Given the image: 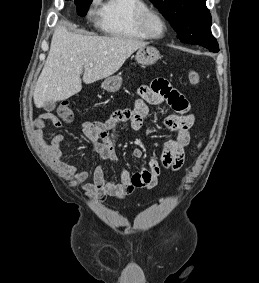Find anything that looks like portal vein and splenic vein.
Returning <instances> with one entry per match:
<instances>
[{
    "label": "portal vein and splenic vein",
    "instance_id": "portal-vein-and-splenic-vein-1",
    "mask_svg": "<svg viewBox=\"0 0 259 283\" xmlns=\"http://www.w3.org/2000/svg\"><path fill=\"white\" fill-rule=\"evenodd\" d=\"M90 66H93V63H89Z\"/></svg>",
    "mask_w": 259,
    "mask_h": 283
}]
</instances>
